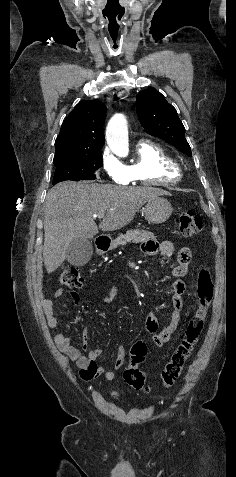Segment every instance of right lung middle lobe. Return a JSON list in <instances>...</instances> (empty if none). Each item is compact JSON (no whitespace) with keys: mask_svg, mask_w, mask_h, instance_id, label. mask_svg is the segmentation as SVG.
I'll return each mask as SVG.
<instances>
[{"mask_svg":"<svg viewBox=\"0 0 236 477\" xmlns=\"http://www.w3.org/2000/svg\"><path fill=\"white\" fill-rule=\"evenodd\" d=\"M53 162L56 167L53 185L65 180H93L95 171L102 166V155L101 151H93Z\"/></svg>","mask_w":236,"mask_h":477,"instance_id":"1","label":"right lung middle lobe"}]
</instances>
